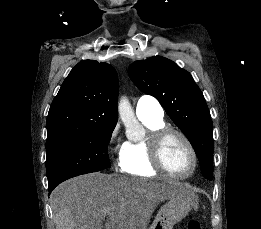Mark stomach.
<instances>
[{
    "label": "stomach",
    "instance_id": "1",
    "mask_svg": "<svg viewBox=\"0 0 261 229\" xmlns=\"http://www.w3.org/2000/svg\"><path fill=\"white\" fill-rule=\"evenodd\" d=\"M176 189H183L184 197H170L168 203L161 207L155 221L149 229H173L176 223L187 217L194 205L197 195L188 183H172Z\"/></svg>",
    "mask_w": 261,
    "mask_h": 229
}]
</instances>
